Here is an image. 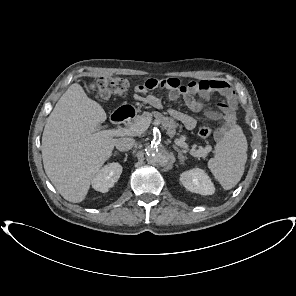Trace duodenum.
Instances as JSON below:
<instances>
[{"label":"duodenum","mask_w":296,"mask_h":296,"mask_svg":"<svg viewBox=\"0 0 296 296\" xmlns=\"http://www.w3.org/2000/svg\"><path fill=\"white\" fill-rule=\"evenodd\" d=\"M135 116V110L132 107L123 108L114 112L111 116V121L114 124H120L130 120Z\"/></svg>","instance_id":"1"}]
</instances>
